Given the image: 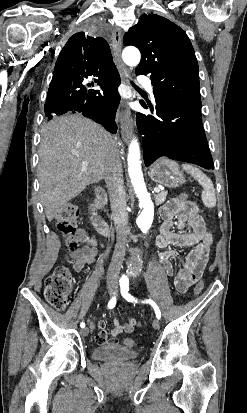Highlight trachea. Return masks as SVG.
I'll return each instance as SVG.
<instances>
[{
  "label": "trachea",
  "mask_w": 247,
  "mask_h": 413,
  "mask_svg": "<svg viewBox=\"0 0 247 413\" xmlns=\"http://www.w3.org/2000/svg\"><path fill=\"white\" fill-rule=\"evenodd\" d=\"M133 85H134V83H133ZM134 87H135L137 90H139V88H138V87H136V85H134Z\"/></svg>",
  "instance_id": "trachea-1"
}]
</instances>
